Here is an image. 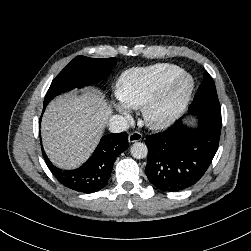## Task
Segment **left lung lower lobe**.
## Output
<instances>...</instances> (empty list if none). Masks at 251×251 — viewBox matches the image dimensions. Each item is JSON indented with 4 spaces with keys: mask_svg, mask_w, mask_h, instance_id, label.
Returning <instances> with one entry per match:
<instances>
[{
    "mask_svg": "<svg viewBox=\"0 0 251 251\" xmlns=\"http://www.w3.org/2000/svg\"><path fill=\"white\" fill-rule=\"evenodd\" d=\"M198 116V128L176 121L165 131L146 138L145 173L158 189L175 192L195 184L208 169L219 145L221 110L189 107Z\"/></svg>",
    "mask_w": 251,
    "mask_h": 251,
    "instance_id": "0a47b994",
    "label": "left lung lower lobe"
}]
</instances>
